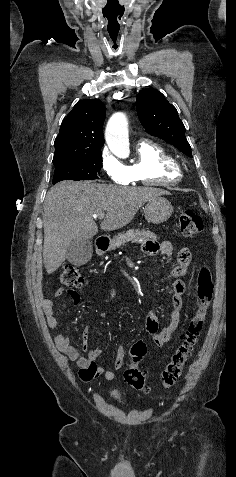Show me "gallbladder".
<instances>
[{
  "instance_id": "gallbladder-1",
  "label": "gallbladder",
  "mask_w": 236,
  "mask_h": 477,
  "mask_svg": "<svg viewBox=\"0 0 236 477\" xmlns=\"http://www.w3.org/2000/svg\"><path fill=\"white\" fill-rule=\"evenodd\" d=\"M92 253L93 247L91 240L76 238L70 243L66 258L71 264L80 266L90 260Z\"/></svg>"
}]
</instances>
